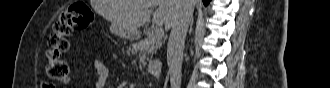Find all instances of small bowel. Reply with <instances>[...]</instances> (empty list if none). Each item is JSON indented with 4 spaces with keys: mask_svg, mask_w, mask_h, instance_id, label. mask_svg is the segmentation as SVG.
<instances>
[{
    "mask_svg": "<svg viewBox=\"0 0 330 88\" xmlns=\"http://www.w3.org/2000/svg\"><path fill=\"white\" fill-rule=\"evenodd\" d=\"M70 36L72 37H76L75 34H70ZM92 65L94 67V69L97 72V82H96V87L98 88H103L106 84V81L108 79L109 76V70L108 68L105 66V64L97 57H94L92 59Z\"/></svg>",
    "mask_w": 330,
    "mask_h": 88,
    "instance_id": "1",
    "label": "small bowel"
}]
</instances>
